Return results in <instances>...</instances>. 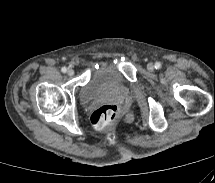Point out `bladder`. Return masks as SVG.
<instances>
[{
    "instance_id": "obj_1",
    "label": "bladder",
    "mask_w": 215,
    "mask_h": 183,
    "mask_svg": "<svg viewBox=\"0 0 215 183\" xmlns=\"http://www.w3.org/2000/svg\"><path fill=\"white\" fill-rule=\"evenodd\" d=\"M122 77L112 62H101L91 71L90 78L80 94L83 104L90 103L103 91L118 86Z\"/></svg>"
}]
</instances>
